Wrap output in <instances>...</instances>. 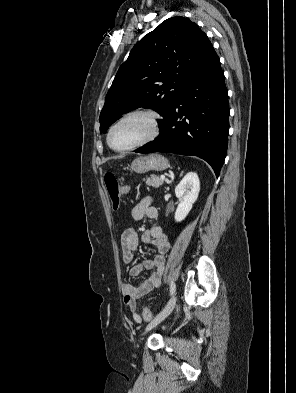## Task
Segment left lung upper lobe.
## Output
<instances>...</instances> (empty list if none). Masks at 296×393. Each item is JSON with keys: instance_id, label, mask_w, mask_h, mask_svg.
Masks as SVG:
<instances>
[{"instance_id": "obj_1", "label": "left lung upper lobe", "mask_w": 296, "mask_h": 393, "mask_svg": "<svg viewBox=\"0 0 296 393\" xmlns=\"http://www.w3.org/2000/svg\"><path fill=\"white\" fill-rule=\"evenodd\" d=\"M212 52L211 42L194 22L179 16L163 21L133 47L120 66L100 114V132L139 107L161 114V127Z\"/></svg>"}]
</instances>
